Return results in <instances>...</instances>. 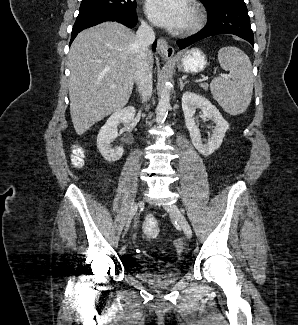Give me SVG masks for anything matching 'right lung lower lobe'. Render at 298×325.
<instances>
[{
  "label": "right lung lower lobe",
  "mask_w": 298,
  "mask_h": 325,
  "mask_svg": "<svg viewBox=\"0 0 298 325\" xmlns=\"http://www.w3.org/2000/svg\"><path fill=\"white\" fill-rule=\"evenodd\" d=\"M105 21H117L129 28H133L136 26L137 23V15L135 14V12L112 10L106 12L93 13L84 16H78L71 33V42L74 40V38L80 31ZM152 48L153 50L156 49V42H154Z\"/></svg>",
  "instance_id": "1"
}]
</instances>
